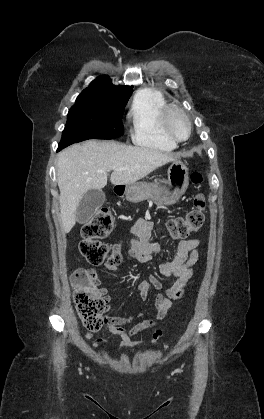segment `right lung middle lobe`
Returning a JSON list of instances; mask_svg holds the SVG:
<instances>
[{"label": "right lung middle lobe", "instance_id": "right-lung-middle-lobe-1", "mask_svg": "<svg viewBox=\"0 0 264 419\" xmlns=\"http://www.w3.org/2000/svg\"><path fill=\"white\" fill-rule=\"evenodd\" d=\"M129 98L82 92L67 115L58 149L87 139H114L123 131L122 116Z\"/></svg>", "mask_w": 264, "mask_h": 419}]
</instances>
